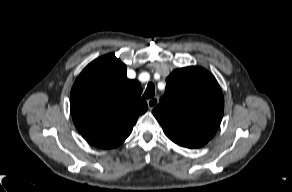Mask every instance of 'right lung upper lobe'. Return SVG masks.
Listing matches in <instances>:
<instances>
[{
  "instance_id": "right-lung-upper-lobe-1",
  "label": "right lung upper lobe",
  "mask_w": 292,
  "mask_h": 192,
  "mask_svg": "<svg viewBox=\"0 0 292 192\" xmlns=\"http://www.w3.org/2000/svg\"><path fill=\"white\" fill-rule=\"evenodd\" d=\"M142 88L126 76V65L113 54L84 68L70 94L73 122L93 146L111 149L131 133L139 115L147 111Z\"/></svg>"
}]
</instances>
